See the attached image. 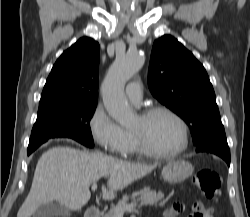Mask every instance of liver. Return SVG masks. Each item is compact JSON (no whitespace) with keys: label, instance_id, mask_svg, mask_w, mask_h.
<instances>
[{"label":"liver","instance_id":"6515ba94","mask_svg":"<svg viewBox=\"0 0 250 217\" xmlns=\"http://www.w3.org/2000/svg\"><path fill=\"white\" fill-rule=\"evenodd\" d=\"M154 168L71 147L51 148L37 162L30 192L17 217H30L40 206L54 201L69 210H80L90 200V185L104 176L109 179L107 187L102 186V197L112 199Z\"/></svg>","mask_w":250,"mask_h":217}]
</instances>
